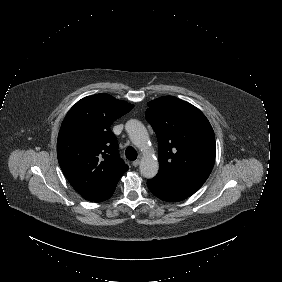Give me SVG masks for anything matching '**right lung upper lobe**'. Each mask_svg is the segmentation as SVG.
Instances as JSON below:
<instances>
[{"label": "right lung upper lobe", "instance_id": "obj_1", "mask_svg": "<svg viewBox=\"0 0 282 282\" xmlns=\"http://www.w3.org/2000/svg\"><path fill=\"white\" fill-rule=\"evenodd\" d=\"M133 107L100 93L78 101L62 122L57 139L58 162L73 188L88 201L111 193L128 170L119 157L110 127Z\"/></svg>", "mask_w": 282, "mask_h": 282}]
</instances>
